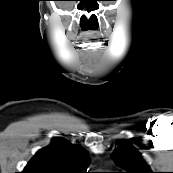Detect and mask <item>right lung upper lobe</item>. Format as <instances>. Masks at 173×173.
Wrapping results in <instances>:
<instances>
[{"label": "right lung upper lobe", "instance_id": "cb5924a9", "mask_svg": "<svg viewBox=\"0 0 173 173\" xmlns=\"http://www.w3.org/2000/svg\"><path fill=\"white\" fill-rule=\"evenodd\" d=\"M89 161L85 150L55 137L48 147L34 155L22 173H86L83 170Z\"/></svg>", "mask_w": 173, "mask_h": 173}]
</instances>
